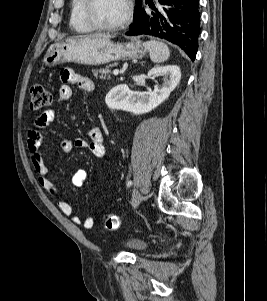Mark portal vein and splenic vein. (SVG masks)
<instances>
[{"instance_id": "18ae733b", "label": "portal vein and splenic vein", "mask_w": 267, "mask_h": 301, "mask_svg": "<svg viewBox=\"0 0 267 301\" xmlns=\"http://www.w3.org/2000/svg\"><path fill=\"white\" fill-rule=\"evenodd\" d=\"M120 73L119 69H114L113 70V75H118Z\"/></svg>"}]
</instances>
